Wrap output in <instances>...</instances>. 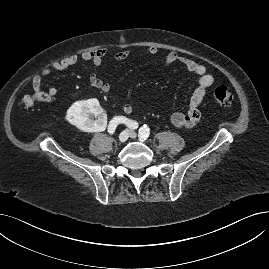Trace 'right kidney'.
<instances>
[{"instance_id":"ca27d5eb","label":"right kidney","mask_w":269,"mask_h":269,"mask_svg":"<svg viewBox=\"0 0 269 269\" xmlns=\"http://www.w3.org/2000/svg\"><path fill=\"white\" fill-rule=\"evenodd\" d=\"M67 117L69 123L83 131H105L108 128L107 117L95 99L75 103L68 110Z\"/></svg>"}]
</instances>
